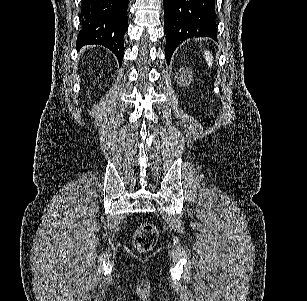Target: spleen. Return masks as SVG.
Wrapping results in <instances>:
<instances>
[{
	"label": "spleen",
	"mask_w": 307,
	"mask_h": 301,
	"mask_svg": "<svg viewBox=\"0 0 307 301\" xmlns=\"http://www.w3.org/2000/svg\"><path fill=\"white\" fill-rule=\"evenodd\" d=\"M204 56L208 66H213L214 58L212 52L210 50H204Z\"/></svg>",
	"instance_id": "1"
}]
</instances>
